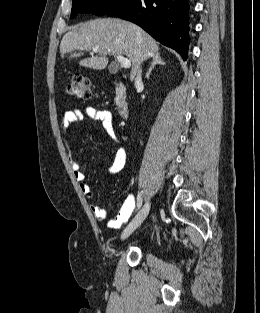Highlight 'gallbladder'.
<instances>
[{
	"instance_id": "obj_1",
	"label": "gallbladder",
	"mask_w": 260,
	"mask_h": 313,
	"mask_svg": "<svg viewBox=\"0 0 260 313\" xmlns=\"http://www.w3.org/2000/svg\"><path fill=\"white\" fill-rule=\"evenodd\" d=\"M109 72L112 73V74H115L117 72V67L114 64H112L109 67Z\"/></svg>"
}]
</instances>
